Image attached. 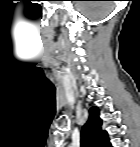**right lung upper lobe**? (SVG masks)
<instances>
[{
  "mask_svg": "<svg viewBox=\"0 0 140 147\" xmlns=\"http://www.w3.org/2000/svg\"><path fill=\"white\" fill-rule=\"evenodd\" d=\"M81 137V145L83 147L111 146L107 132L102 130V119L99 117L98 107L90 108L89 118L82 128Z\"/></svg>",
  "mask_w": 140,
  "mask_h": 147,
  "instance_id": "obj_1",
  "label": "right lung upper lobe"
}]
</instances>
